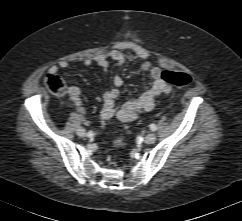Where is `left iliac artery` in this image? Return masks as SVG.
I'll return each instance as SVG.
<instances>
[{
  "label": "left iliac artery",
  "instance_id": "1",
  "mask_svg": "<svg viewBox=\"0 0 242 221\" xmlns=\"http://www.w3.org/2000/svg\"><path fill=\"white\" fill-rule=\"evenodd\" d=\"M150 129H151L152 131H155V130H157V126H156L155 124H151V125H150Z\"/></svg>",
  "mask_w": 242,
  "mask_h": 221
}]
</instances>
